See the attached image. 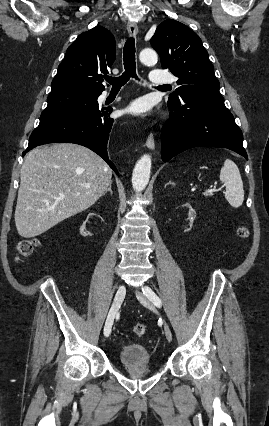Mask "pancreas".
Instances as JSON below:
<instances>
[{
	"label": "pancreas",
	"mask_w": 269,
	"mask_h": 426,
	"mask_svg": "<svg viewBox=\"0 0 269 426\" xmlns=\"http://www.w3.org/2000/svg\"><path fill=\"white\" fill-rule=\"evenodd\" d=\"M205 196H211L212 194L210 193H204Z\"/></svg>",
	"instance_id": "cf45deb5"
}]
</instances>
